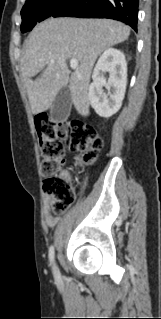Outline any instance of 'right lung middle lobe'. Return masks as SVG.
Here are the masks:
<instances>
[{
    "label": "right lung middle lobe",
    "mask_w": 161,
    "mask_h": 319,
    "mask_svg": "<svg viewBox=\"0 0 161 319\" xmlns=\"http://www.w3.org/2000/svg\"><path fill=\"white\" fill-rule=\"evenodd\" d=\"M83 0H26L21 10V31L32 30L37 22L49 16L62 17L79 6Z\"/></svg>",
    "instance_id": "dd1d6c3e"
}]
</instances>
